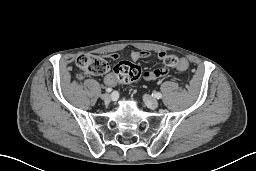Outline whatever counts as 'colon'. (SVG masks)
I'll use <instances>...</instances> for the list:
<instances>
[{
    "instance_id": "colon-1",
    "label": "colon",
    "mask_w": 256,
    "mask_h": 171,
    "mask_svg": "<svg viewBox=\"0 0 256 171\" xmlns=\"http://www.w3.org/2000/svg\"><path fill=\"white\" fill-rule=\"evenodd\" d=\"M163 63L168 67L176 69H180L185 65L183 59L175 55H166ZM76 64L83 73L90 75H102L110 69L107 60L98 55H79L76 59ZM115 73L118 79L123 82H132L143 76L141 67L129 61L120 62L115 67Z\"/></svg>"
}]
</instances>
